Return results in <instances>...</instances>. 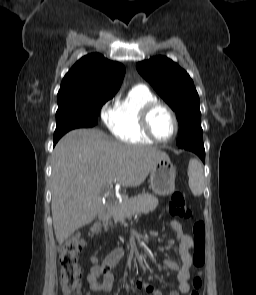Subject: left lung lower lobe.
I'll use <instances>...</instances> for the list:
<instances>
[{"label": "left lung lower lobe", "mask_w": 256, "mask_h": 295, "mask_svg": "<svg viewBox=\"0 0 256 295\" xmlns=\"http://www.w3.org/2000/svg\"><path fill=\"white\" fill-rule=\"evenodd\" d=\"M183 149L196 153L201 158V160L205 162V150L203 144L189 145L185 146Z\"/></svg>", "instance_id": "obj_1"}]
</instances>
